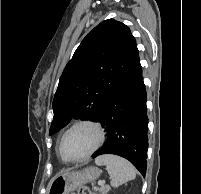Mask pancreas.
I'll return each instance as SVG.
<instances>
[{
    "label": "pancreas",
    "instance_id": "obj_1",
    "mask_svg": "<svg viewBox=\"0 0 201 194\" xmlns=\"http://www.w3.org/2000/svg\"><path fill=\"white\" fill-rule=\"evenodd\" d=\"M109 190H110L109 186H103L97 189V191H99L100 194H107Z\"/></svg>",
    "mask_w": 201,
    "mask_h": 194
}]
</instances>
